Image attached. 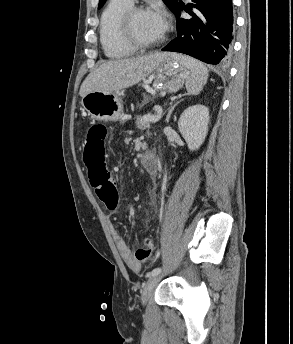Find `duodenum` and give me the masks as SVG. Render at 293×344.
I'll return each mask as SVG.
<instances>
[{"label": "duodenum", "mask_w": 293, "mask_h": 344, "mask_svg": "<svg viewBox=\"0 0 293 344\" xmlns=\"http://www.w3.org/2000/svg\"><path fill=\"white\" fill-rule=\"evenodd\" d=\"M140 164L149 170H155L157 168L156 162L153 160V155L150 152L143 153L140 156Z\"/></svg>", "instance_id": "duodenum-1"}]
</instances>
